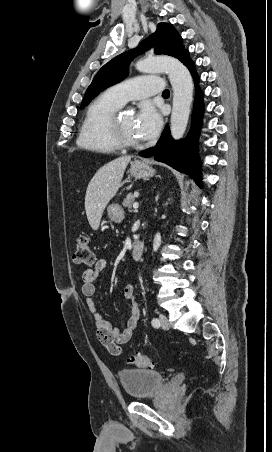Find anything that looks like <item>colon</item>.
Wrapping results in <instances>:
<instances>
[{"label": "colon", "mask_w": 272, "mask_h": 452, "mask_svg": "<svg viewBox=\"0 0 272 452\" xmlns=\"http://www.w3.org/2000/svg\"><path fill=\"white\" fill-rule=\"evenodd\" d=\"M94 261L95 257L90 239L85 235L79 236L76 242L73 262L77 265H92ZM114 351L121 352L118 348H114ZM129 361L139 367H151L154 363L153 359L147 355H135L130 357Z\"/></svg>", "instance_id": "1"}]
</instances>
